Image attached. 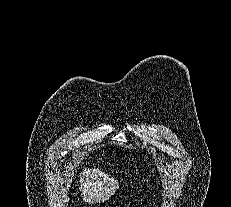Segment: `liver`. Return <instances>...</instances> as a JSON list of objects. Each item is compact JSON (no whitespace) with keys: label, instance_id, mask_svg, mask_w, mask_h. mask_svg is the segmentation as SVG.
Here are the masks:
<instances>
[{"label":"liver","instance_id":"6515ba94","mask_svg":"<svg viewBox=\"0 0 231 207\" xmlns=\"http://www.w3.org/2000/svg\"><path fill=\"white\" fill-rule=\"evenodd\" d=\"M80 190L83 200L98 203L109 199L118 189V181L99 168L84 169L80 173Z\"/></svg>","mask_w":231,"mask_h":207}]
</instances>
